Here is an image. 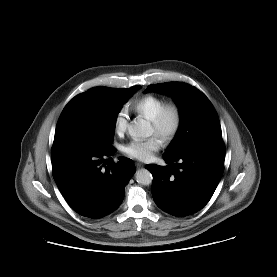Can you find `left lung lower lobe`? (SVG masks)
I'll use <instances>...</instances> for the list:
<instances>
[{"instance_id": "obj_1", "label": "left lung lower lobe", "mask_w": 277, "mask_h": 277, "mask_svg": "<svg viewBox=\"0 0 277 277\" xmlns=\"http://www.w3.org/2000/svg\"><path fill=\"white\" fill-rule=\"evenodd\" d=\"M224 158V142L215 139L200 143L177 159L164 157L173 167L146 165L153 176L152 196L156 205L178 217L201 210L222 177Z\"/></svg>"}]
</instances>
